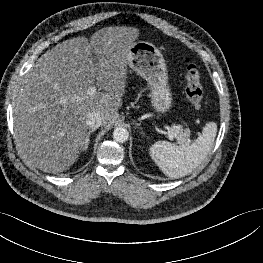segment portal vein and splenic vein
<instances>
[{
  "label": "portal vein and splenic vein",
  "mask_w": 263,
  "mask_h": 263,
  "mask_svg": "<svg viewBox=\"0 0 263 263\" xmlns=\"http://www.w3.org/2000/svg\"><path fill=\"white\" fill-rule=\"evenodd\" d=\"M97 92V88L95 87V86H91V87H89L88 89H87V94L88 95H93V94H95ZM76 98H78V97H76ZM167 135H168V137H169V139L171 140V141H173L174 140V134L171 132V131H167ZM183 143H184V141H183Z\"/></svg>",
  "instance_id": "18ae733b"
}]
</instances>
